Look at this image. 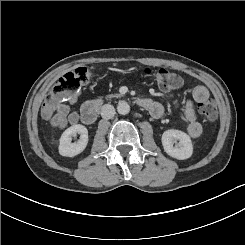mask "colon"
<instances>
[{
    "label": "colon",
    "mask_w": 245,
    "mask_h": 245,
    "mask_svg": "<svg viewBox=\"0 0 245 245\" xmlns=\"http://www.w3.org/2000/svg\"><path fill=\"white\" fill-rule=\"evenodd\" d=\"M143 74L152 79L161 89L171 90L181 85V77L165 68L143 69ZM92 76L86 67L76 68L53 83L42 105V116L51 119L59 105L73 99L75 95L88 83ZM199 111L208 122L217 119V109L213 100H205L199 104Z\"/></svg>",
    "instance_id": "colon-1"
}]
</instances>
